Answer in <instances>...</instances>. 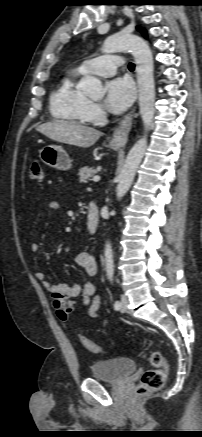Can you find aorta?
I'll list each match as a JSON object with an SVG mask.
<instances>
[{
    "label": "aorta",
    "instance_id": "obj_1",
    "mask_svg": "<svg viewBox=\"0 0 202 437\" xmlns=\"http://www.w3.org/2000/svg\"><path fill=\"white\" fill-rule=\"evenodd\" d=\"M102 51L104 53H115L119 51H129L132 53L136 62L139 110L145 132H147L155 113L153 56L148 44L137 35L119 32L109 36L104 41ZM79 86L87 96L98 98L104 95L101 81L94 77L83 78ZM146 148L147 136L144 134V136L134 144L126 157L116 188L118 199H121L129 190ZM104 257L107 276L112 277L114 274V262L110 242H107L105 245Z\"/></svg>",
    "mask_w": 202,
    "mask_h": 437
}]
</instances>
